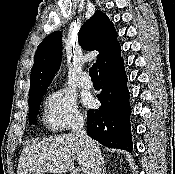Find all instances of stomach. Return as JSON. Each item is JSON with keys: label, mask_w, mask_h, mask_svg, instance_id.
<instances>
[{"label": "stomach", "mask_w": 175, "mask_h": 174, "mask_svg": "<svg viewBox=\"0 0 175 174\" xmlns=\"http://www.w3.org/2000/svg\"><path fill=\"white\" fill-rule=\"evenodd\" d=\"M30 174H41V173L34 171V172H31Z\"/></svg>", "instance_id": "0dacf381"}]
</instances>
